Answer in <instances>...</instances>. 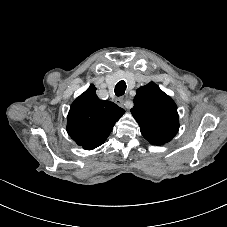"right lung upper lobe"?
I'll return each mask as SVG.
<instances>
[{
    "mask_svg": "<svg viewBox=\"0 0 227 227\" xmlns=\"http://www.w3.org/2000/svg\"><path fill=\"white\" fill-rule=\"evenodd\" d=\"M123 113L115 103L100 100L96 87L90 85L70 107L67 132L79 146L95 149L104 143Z\"/></svg>",
    "mask_w": 227,
    "mask_h": 227,
    "instance_id": "obj_1",
    "label": "right lung upper lobe"
}]
</instances>
